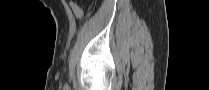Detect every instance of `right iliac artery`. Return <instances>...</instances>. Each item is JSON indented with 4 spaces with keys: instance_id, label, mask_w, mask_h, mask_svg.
<instances>
[{
    "instance_id": "82829eb1",
    "label": "right iliac artery",
    "mask_w": 209,
    "mask_h": 90,
    "mask_svg": "<svg viewBox=\"0 0 209 90\" xmlns=\"http://www.w3.org/2000/svg\"><path fill=\"white\" fill-rule=\"evenodd\" d=\"M65 90H68V85H65Z\"/></svg>"
}]
</instances>
